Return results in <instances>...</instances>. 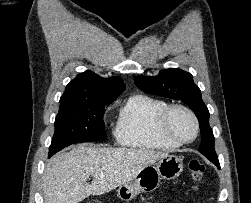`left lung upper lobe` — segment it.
<instances>
[{
	"label": "left lung upper lobe",
	"mask_w": 251,
	"mask_h": 203,
	"mask_svg": "<svg viewBox=\"0 0 251 203\" xmlns=\"http://www.w3.org/2000/svg\"><path fill=\"white\" fill-rule=\"evenodd\" d=\"M134 82L139 89L146 93L181 100L188 105L199 120L202 135L199 151L216 166L219 164L214 149V135L209 125L210 113L202 100L201 91L193 82L190 73L177 68H169L152 77L138 75L134 78Z\"/></svg>",
	"instance_id": "left-lung-upper-lobe-1"
}]
</instances>
